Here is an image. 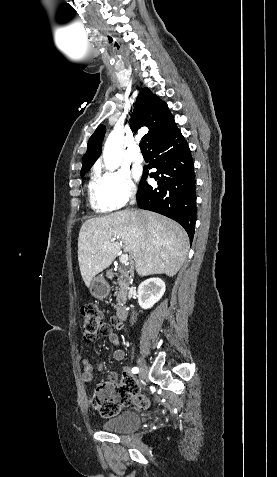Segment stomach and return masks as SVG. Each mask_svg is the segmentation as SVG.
I'll return each mask as SVG.
<instances>
[{
	"label": "stomach",
	"mask_w": 277,
	"mask_h": 477,
	"mask_svg": "<svg viewBox=\"0 0 277 477\" xmlns=\"http://www.w3.org/2000/svg\"><path fill=\"white\" fill-rule=\"evenodd\" d=\"M110 286L102 275L94 277L90 284V293L97 299H103L108 296Z\"/></svg>",
	"instance_id": "obj_1"
}]
</instances>
